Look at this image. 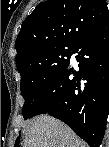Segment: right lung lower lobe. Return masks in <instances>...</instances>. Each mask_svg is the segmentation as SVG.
Listing matches in <instances>:
<instances>
[{"label": "right lung lower lobe", "mask_w": 109, "mask_h": 147, "mask_svg": "<svg viewBox=\"0 0 109 147\" xmlns=\"http://www.w3.org/2000/svg\"><path fill=\"white\" fill-rule=\"evenodd\" d=\"M78 69L65 66L35 115L49 114L66 123L90 147H99L109 112V20L72 49Z\"/></svg>", "instance_id": "obj_1"}]
</instances>
